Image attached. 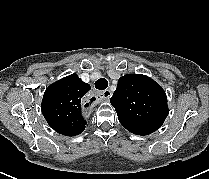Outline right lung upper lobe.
<instances>
[{
	"label": "right lung upper lobe",
	"instance_id": "1",
	"mask_svg": "<svg viewBox=\"0 0 209 179\" xmlns=\"http://www.w3.org/2000/svg\"><path fill=\"white\" fill-rule=\"evenodd\" d=\"M91 89L77 74H71L51 84L41 103L42 113L52 129L65 136L84 131L86 121L82 110L88 106L85 94ZM95 98L92 97L90 102Z\"/></svg>",
	"mask_w": 209,
	"mask_h": 179
}]
</instances>
